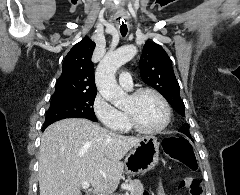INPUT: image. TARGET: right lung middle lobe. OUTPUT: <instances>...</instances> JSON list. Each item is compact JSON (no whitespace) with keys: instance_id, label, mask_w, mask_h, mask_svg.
<instances>
[{"instance_id":"1","label":"right lung middle lobe","mask_w":240,"mask_h":195,"mask_svg":"<svg viewBox=\"0 0 240 195\" xmlns=\"http://www.w3.org/2000/svg\"><path fill=\"white\" fill-rule=\"evenodd\" d=\"M96 94L53 95L43 128L65 118H86L96 122L93 103Z\"/></svg>"}]
</instances>
